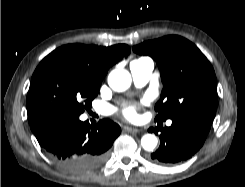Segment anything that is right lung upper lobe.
I'll list each match as a JSON object with an SVG mask.
<instances>
[{"instance_id": "right-lung-upper-lobe-1", "label": "right lung upper lobe", "mask_w": 245, "mask_h": 187, "mask_svg": "<svg viewBox=\"0 0 245 187\" xmlns=\"http://www.w3.org/2000/svg\"><path fill=\"white\" fill-rule=\"evenodd\" d=\"M58 49L77 54L90 68L93 75L101 80H103L112 65L130 53L129 46L125 44H118L111 47L70 44Z\"/></svg>"}]
</instances>
